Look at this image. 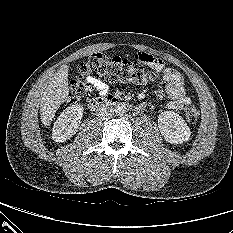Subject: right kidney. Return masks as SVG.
Wrapping results in <instances>:
<instances>
[{"label": "right kidney", "instance_id": "obj_1", "mask_svg": "<svg viewBox=\"0 0 233 233\" xmlns=\"http://www.w3.org/2000/svg\"><path fill=\"white\" fill-rule=\"evenodd\" d=\"M84 109L81 105L75 104L67 107L60 114L54 123L52 138L56 142H65L76 134Z\"/></svg>", "mask_w": 233, "mask_h": 233}]
</instances>
